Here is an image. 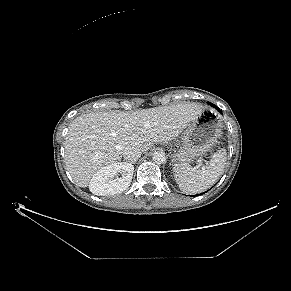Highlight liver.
<instances>
[{
    "label": "liver",
    "instance_id": "6515ba94",
    "mask_svg": "<svg viewBox=\"0 0 291 291\" xmlns=\"http://www.w3.org/2000/svg\"><path fill=\"white\" fill-rule=\"evenodd\" d=\"M204 110L201 104L187 102L132 113L80 115L70 124L64 143L67 170L85 188L97 171L120 161L126 147L146 152L154 143L171 141Z\"/></svg>",
    "mask_w": 291,
    "mask_h": 291
}]
</instances>
